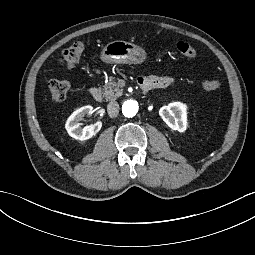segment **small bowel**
<instances>
[{
    "label": "small bowel",
    "mask_w": 255,
    "mask_h": 255,
    "mask_svg": "<svg viewBox=\"0 0 255 255\" xmlns=\"http://www.w3.org/2000/svg\"><path fill=\"white\" fill-rule=\"evenodd\" d=\"M147 80L151 81L153 86L159 88L167 87L173 82V78L170 76L152 77Z\"/></svg>",
    "instance_id": "small-bowel-1"
}]
</instances>
